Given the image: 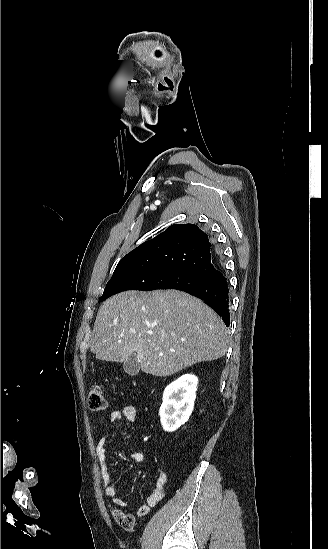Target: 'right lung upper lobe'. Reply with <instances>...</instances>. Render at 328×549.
I'll use <instances>...</instances> for the list:
<instances>
[{"label": "right lung upper lobe", "mask_w": 328, "mask_h": 549, "mask_svg": "<svg viewBox=\"0 0 328 549\" xmlns=\"http://www.w3.org/2000/svg\"><path fill=\"white\" fill-rule=\"evenodd\" d=\"M219 263L215 246L197 225L175 224L124 256L114 272L130 267H165L213 279L220 274Z\"/></svg>", "instance_id": "cb5924a9"}]
</instances>
